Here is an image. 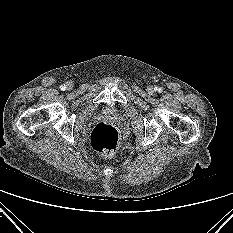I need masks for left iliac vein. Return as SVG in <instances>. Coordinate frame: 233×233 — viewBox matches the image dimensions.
<instances>
[{"instance_id": "4c4485c4", "label": "left iliac vein", "mask_w": 233, "mask_h": 233, "mask_svg": "<svg viewBox=\"0 0 233 233\" xmlns=\"http://www.w3.org/2000/svg\"><path fill=\"white\" fill-rule=\"evenodd\" d=\"M149 93H153L154 92V88L153 87H149Z\"/></svg>"}]
</instances>
